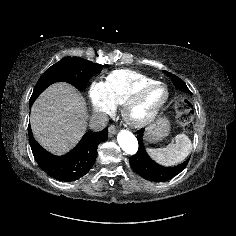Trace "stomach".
<instances>
[{
  "instance_id": "obj_1",
  "label": "stomach",
  "mask_w": 236,
  "mask_h": 236,
  "mask_svg": "<svg viewBox=\"0 0 236 236\" xmlns=\"http://www.w3.org/2000/svg\"><path fill=\"white\" fill-rule=\"evenodd\" d=\"M169 131V120L165 117H159L146 128L145 138L149 142H157L168 136Z\"/></svg>"
}]
</instances>
